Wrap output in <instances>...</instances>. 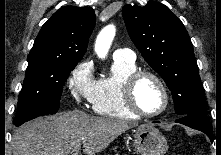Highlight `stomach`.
<instances>
[{
  "label": "stomach",
  "instance_id": "1",
  "mask_svg": "<svg viewBox=\"0 0 221 155\" xmlns=\"http://www.w3.org/2000/svg\"><path fill=\"white\" fill-rule=\"evenodd\" d=\"M133 133L134 147L139 155H165L169 148L163 134L151 125H141Z\"/></svg>",
  "mask_w": 221,
  "mask_h": 155
}]
</instances>
